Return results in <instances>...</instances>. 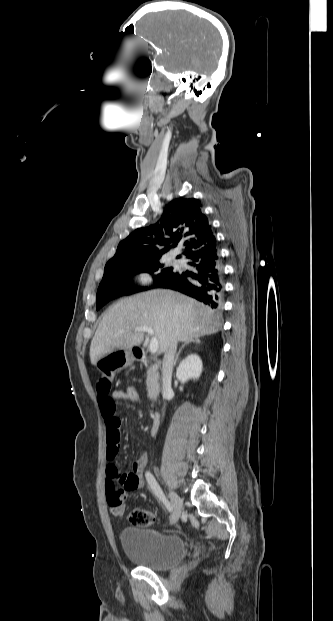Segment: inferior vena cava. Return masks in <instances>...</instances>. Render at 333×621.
I'll return each instance as SVG.
<instances>
[{
  "instance_id": "inferior-vena-cava-1",
  "label": "inferior vena cava",
  "mask_w": 333,
  "mask_h": 621,
  "mask_svg": "<svg viewBox=\"0 0 333 621\" xmlns=\"http://www.w3.org/2000/svg\"><path fill=\"white\" fill-rule=\"evenodd\" d=\"M177 348V339L174 338L170 343L168 350L165 352L163 358L162 368V395L163 399H166L167 394L171 390V378L173 372L174 355Z\"/></svg>"
}]
</instances>
